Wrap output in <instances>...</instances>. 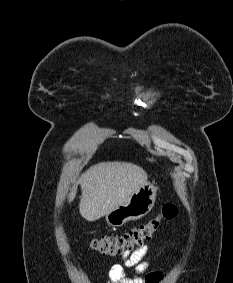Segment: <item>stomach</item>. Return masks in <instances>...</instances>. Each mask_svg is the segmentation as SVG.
Returning <instances> with one entry per match:
<instances>
[{
	"label": "stomach",
	"mask_w": 233,
	"mask_h": 283,
	"mask_svg": "<svg viewBox=\"0 0 233 283\" xmlns=\"http://www.w3.org/2000/svg\"><path fill=\"white\" fill-rule=\"evenodd\" d=\"M157 188L146 181L123 204L105 215L108 225L120 227L131 220L144 217L154 206Z\"/></svg>",
	"instance_id": "0dacf381"
}]
</instances>
